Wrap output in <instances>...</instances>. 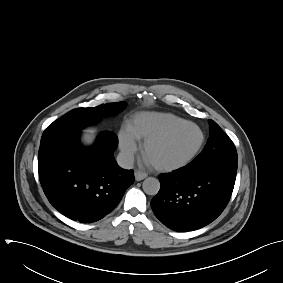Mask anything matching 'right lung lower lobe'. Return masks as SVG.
<instances>
[{
	"label": "right lung lower lobe",
	"instance_id": "obj_1",
	"mask_svg": "<svg viewBox=\"0 0 283 283\" xmlns=\"http://www.w3.org/2000/svg\"><path fill=\"white\" fill-rule=\"evenodd\" d=\"M80 132L49 141L39 148L38 170L51 205L66 217L92 223L110 213L133 184V170L118 166L113 156L118 139L101 134L91 148L79 143Z\"/></svg>",
	"mask_w": 283,
	"mask_h": 283
}]
</instances>
